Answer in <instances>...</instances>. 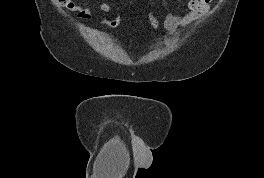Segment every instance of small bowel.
Returning a JSON list of instances; mask_svg holds the SVG:
<instances>
[{
	"instance_id": "small-bowel-1",
	"label": "small bowel",
	"mask_w": 264,
	"mask_h": 178,
	"mask_svg": "<svg viewBox=\"0 0 264 178\" xmlns=\"http://www.w3.org/2000/svg\"><path fill=\"white\" fill-rule=\"evenodd\" d=\"M211 2L212 0H190L186 6V12L169 13L163 18V28L167 32L172 33L179 28L189 26L191 23L199 20L209 11ZM71 9L84 20H88L93 17V11L89 7L73 5ZM100 10L105 14H109L111 13L112 8L107 2H102L100 4Z\"/></svg>"
}]
</instances>
